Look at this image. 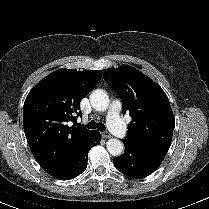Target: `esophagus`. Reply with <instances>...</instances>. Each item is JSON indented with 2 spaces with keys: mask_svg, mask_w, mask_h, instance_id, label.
Listing matches in <instances>:
<instances>
[{
  "mask_svg": "<svg viewBox=\"0 0 209 209\" xmlns=\"http://www.w3.org/2000/svg\"><path fill=\"white\" fill-rule=\"evenodd\" d=\"M101 135H102V137H103V138H106V139H107V138H111V137H112V136H111V134H110L109 132H107V131L102 132V134H101Z\"/></svg>",
  "mask_w": 209,
  "mask_h": 209,
  "instance_id": "obj_1",
  "label": "esophagus"
}]
</instances>
